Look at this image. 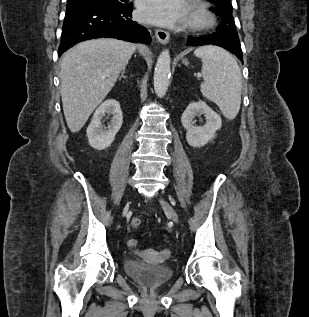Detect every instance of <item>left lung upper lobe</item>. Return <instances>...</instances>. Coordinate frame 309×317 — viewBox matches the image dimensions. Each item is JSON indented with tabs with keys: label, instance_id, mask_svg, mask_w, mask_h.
<instances>
[{
	"label": "left lung upper lobe",
	"instance_id": "1",
	"mask_svg": "<svg viewBox=\"0 0 309 317\" xmlns=\"http://www.w3.org/2000/svg\"><path fill=\"white\" fill-rule=\"evenodd\" d=\"M215 5L211 8L213 12L221 16L222 22L217 32L219 33H230L238 37L237 29L232 17V4L230 0H208Z\"/></svg>",
	"mask_w": 309,
	"mask_h": 317
}]
</instances>
